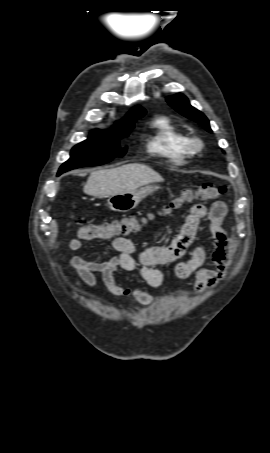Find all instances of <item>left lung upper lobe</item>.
Returning a JSON list of instances; mask_svg holds the SVG:
<instances>
[{"instance_id":"1","label":"left lung upper lobe","mask_w":270,"mask_h":453,"mask_svg":"<svg viewBox=\"0 0 270 453\" xmlns=\"http://www.w3.org/2000/svg\"><path fill=\"white\" fill-rule=\"evenodd\" d=\"M167 102L180 114L198 122L199 124L203 125L207 131L212 132L209 121L205 117V115L192 107L188 99L184 95L177 94L175 96L167 97Z\"/></svg>"}]
</instances>
